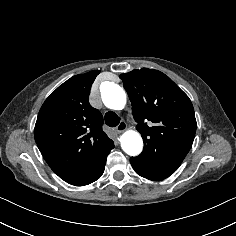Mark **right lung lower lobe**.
I'll use <instances>...</instances> for the list:
<instances>
[{
	"mask_svg": "<svg viewBox=\"0 0 236 236\" xmlns=\"http://www.w3.org/2000/svg\"><path fill=\"white\" fill-rule=\"evenodd\" d=\"M109 152L105 154V156L102 157V159L93 168L81 172L63 174L59 177L67 183L75 186H84L90 184L99 179L103 174L106 164V158Z\"/></svg>",
	"mask_w": 236,
	"mask_h": 236,
	"instance_id": "98d812e1",
	"label": "right lung lower lobe"
}]
</instances>
